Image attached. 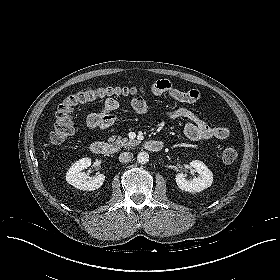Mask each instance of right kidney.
I'll use <instances>...</instances> for the list:
<instances>
[{"label":"right kidney","instance_id":"1","mask_svg":"<svg viewBox=\"0 0 280 280\" xmlns=\"http://www.w3.org/2000/svg\"><path fill=\"white\" fill-rule=\"evenodd\" d=\"M91 165V159L88 157L76 161L66 173V181L80 190L93 191L100 188L105 181V176L99 174L94 177L88 176L83 172Z\"/></svg>","mask_w":280,"mask_h":280}]
</instances>
